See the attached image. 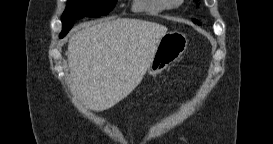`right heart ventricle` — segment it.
I'll use <instances>...</instances> for the list:
<instances>
[{
	"instance_id": "e07e8e85",
	"label": "right heart ventricle",
	"mask_w": 273,
	"mask_h": 144,
	"mask_svg": "<svg viewBox=\"0 0 273 144\" xmlns=\"http://www.w3.org/2000/svg\"><path fill=\"white\" fill-rule=\"evenodd\" d=\"M133 9L145 14H156L165 9V4L163 0H135Z\"/></svg>"
}]
</instances>
